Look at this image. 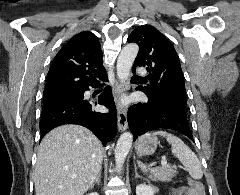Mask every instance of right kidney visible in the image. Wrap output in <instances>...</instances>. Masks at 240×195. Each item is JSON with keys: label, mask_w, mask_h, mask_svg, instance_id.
Wrapping results in <instances>:
<instances>
[{"label": "right kidney", "mask_w": 240, "mask_h": 195, "mask_svg": "<svg viewBox=\"0 0 240 195\" xmlns=\"http://www.w3.org/2000/svg\"><path fill=\"white\" fill-rule=\"evenodd\" d=\"M88 195H99V193H97V191H93V193H88Z\"/></svg>", "instance_id": "ca27d5eb"}]
</instances>
